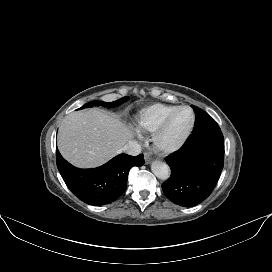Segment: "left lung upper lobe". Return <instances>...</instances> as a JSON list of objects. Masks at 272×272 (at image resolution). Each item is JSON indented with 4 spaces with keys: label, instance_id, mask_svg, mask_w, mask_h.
Instances as JSON below:
<instances>
[{
    "label": "left lung upper lobe",
    "instance_id": "5c2ea615",
    "mask_svg": "<svg viewBox=\"0 0 272 272\" xmlns=\"http://www.w3.org/2000/svg\"><path fill=\"white\" fill-rule=\"evenodd\" d=\"M192 108L196 113L195 126L192 133L201 132L202 130L210 127L211 125L216 124V121L205 111L193 105Z\"/></svg>",
    "mask_w": 272,
    "mask_h": 272
}]
</instances>
